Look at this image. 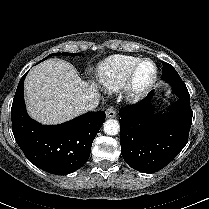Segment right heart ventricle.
Returning a JSON list of instances; mask_svg holds the SVG:
<instances>
[{"label":"right heart ventricle","mask_w":209,"mask_h":209,"mask_svg":"<svg viewBox=\"0 0 209 209\" xmlns=\"http://www.w3.org/2000/svg\"><path fill=\"white\" fill-rule=\"evenodd\" d=\"M140 60L133 56H114L101 67L100 79L111 91H117L125 86L134 65Z\"/></svg>","instance_id":"right-heart-ventricle-1"}]
</instances>
